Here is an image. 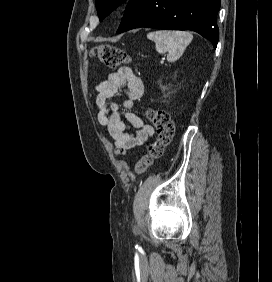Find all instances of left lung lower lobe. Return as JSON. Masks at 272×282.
Instances as JSON below:
<instances>
[{
	"instance_id": "0a47b994",
	"label": "left lung lower lobe",
	"mask_w": 272,
	"mask_h": 282,
	"mask_svg": "<svg viewBox=\"0 0 272 282\" xmlns=\"http://www.w3.org/2000/svg\"><path fill=\"white\" fill-rule=\"evenodd\" d=\"M219 8L220 0H130L117 33L140 27L191 29L216 48Z\"/></svg>"
}]
</instances>
